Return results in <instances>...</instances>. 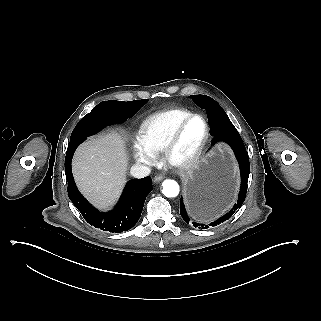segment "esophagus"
<instances>
[{
	"label": "esophagus",
	"instance_id": "esophagus-1",
	"mask_svg": "<svg viewBox=\"0 0 321 321\" xmlns=\"http://www.w3.org/2000/svg\"><path fill=\"white\" fill-rule=\"evenodd\" d=\"M163 179H164V176H162V175H157V176L154 177V181H155V182H160V181H162Z\"/></svg>",
	"mask_w": 321,
	"mask_h": 321
}]
</instances>
